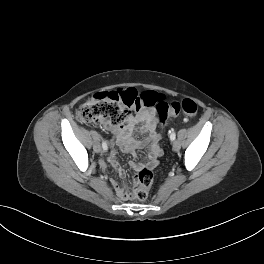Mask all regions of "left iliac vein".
Instances as JSON below:
<instances>
[{
    "label": "left iliac vein",
    "mask_w": 264,
    "mask_h": 264,
    "mask_svg": "<svg viewBox=\"0 0 264 264\" xmlns=\"http://www.w3.org/2000/svg\"><path fill=\"white\" fill-rule=\"evenodd\" d=\"M179 149H180V142L177 141V140H175V141L173 142V150H174V151H178Z\"/></svg>",
    "instance_id": "1"
}]
</instances>
